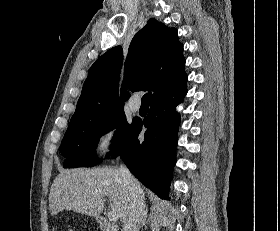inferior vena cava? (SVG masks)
I'll list each match as a JSON object with an SVG mask.
<instances>
[{"instance_id":"1","label":"inferior vena cava","mask_w":280,"mask_h":231,"mask_svg":"<svg viewBox=\"0 0 280 231\" xmlns=\"http://www.w3.org/2000/svg\"><path fill=\"white\" fill-rule=\"evenodd\" d=\"M119 171L126 183L130 193V211L123 221L122 231H139L140 223L145 215V203L143 199L142 187L139 181L134 179L128 167L120 165Z\"/></svg>"}]
</instances>
